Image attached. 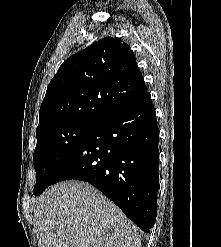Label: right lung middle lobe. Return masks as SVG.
<instances>
[{"instance_id": "1", "label": "right lung middle lobe", "mask_w": 221, "mask_h": 247, "mask_svg": "<svg viewBox=\"0 0 221 247\" xmlns=\"http://www.w3.org/2000/svg\"><path fill=\"white\" fill-rule=\"evenodd\" d=\"M97 124L72 122L36 134L33 155L37 175L34 195H40L51 183L64 162L92 133Z\"/></svg>"}]
</instances>
